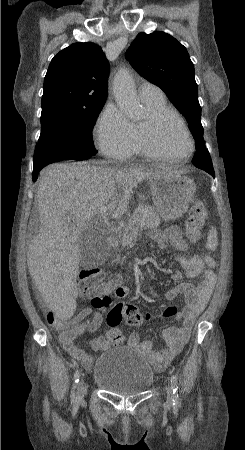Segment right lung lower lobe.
Listing matches in <instances>:
<instances>
[{"label": "right lung lower lobe", "mask_w": 245, "mask_h": 450, "mask_svg": "<svg viewBox=\"0 0 245 450\" xmlns=\"http://www.w3.org/2000/svg\"><path fill=\"white\" fill-rule=\"evenodd\" d=\"M90 157H91V155H81V156L68 157L66 159L85 160V159H88ZM42 168L33 169V181H35L37 179L38 174H39V172L41 171Z\"/></svg>", "instance_id": "obj_1"}]
</instances>
